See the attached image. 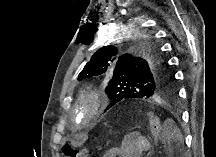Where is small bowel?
<instances>
[{
    "label": "small bowel",
    "instance_id": "small-bowel-1",
    "mask_svg": "<svg viewBox=\"0 0 216 157\" xmlns=\"http://www.w3.org/2000/svg\"><path fill=\"white\" fill-rule=\"evenodd\" d=\"M148 143L142 137L130 135L118 147L108 152V157H139L147 149Z\"/></svg>",
    "mask_w": 216,
    "mask_h": 157
}]
</instances>
